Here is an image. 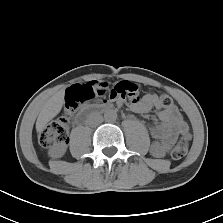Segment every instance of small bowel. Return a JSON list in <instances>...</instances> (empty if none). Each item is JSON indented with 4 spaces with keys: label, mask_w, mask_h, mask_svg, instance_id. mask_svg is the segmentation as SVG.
I'll return each instance as SVG.
<instances>
[{
    "label": "small bowel",
    "mask_w": 223,
    "mask_h": 223,
    "mask_svg": "<svg viewBox=\"0 0 223 223\" xmlns=\"http://www.w3.org/2000/svg\"><path fill=\"white\" fill-rule=\"evenodd\" d=\"M130 108L134 112L142 114L149 112L152 108L158 109L159 122L150 128V134L154 139L151 145V154L154 157H163L179 137L190 136L188 124L177 107L173 105L162 107L155 93L149 92L141 99L131 100Z\"/></svg>",
    "instance_id": "small-bowel-1"
}]
</instances>
